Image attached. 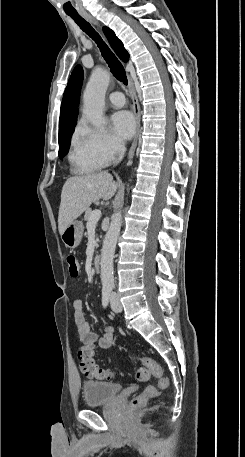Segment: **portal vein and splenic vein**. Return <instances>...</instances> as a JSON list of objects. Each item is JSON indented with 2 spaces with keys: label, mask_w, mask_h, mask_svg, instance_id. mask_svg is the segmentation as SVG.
<instances>
[{
  "label": "portal vein and splenic vein",
  "mask_w": 245,
  "mask_h": 457,
  "mask_svg": "<svg viewBox=\"0 0 245 457\" xmlns=\"http://www.w3.org/2000/svg\"><path fill=\"white\" fill-rule=\"evenodd\" d=\"M101 214H102V212H101V210H98V208H96V210H93V212L89 218L90 222H92V224H96V222H98Z\"/></svg>",
  "instance_id": "18ae733b"
}]
</instances>
